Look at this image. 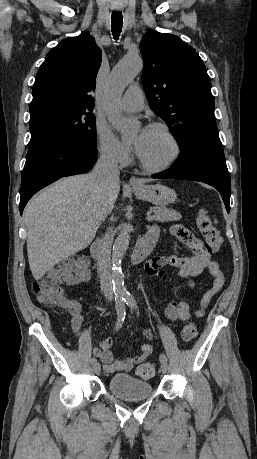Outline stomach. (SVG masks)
Listing matches in <instances>:
<instances>
[{
	"label": "stomach",
	"instance_id": "0dacf381",
	"mask_svg": "<svg viewBox=\"0 0 257 459\" xmlns=\"http://www.w3.org/2000/svg\"><path fill=\"white\" fill-rule=\"evenodd\" d=\"M136 196L155 205L164 206L175 202L176 192L164 185H143L141 187H133Z\"/></svg>",
	"mask_w": 257,
	"mask_h": 459
}]
</instances>
